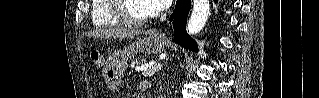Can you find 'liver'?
<instances>
[{
    "instance_id": "1",
    "label": "liver",
    "mask_w": 319,
    "mask_h": 98,
    "mask_svg": "<svg viewBox=\"0 0 319 98\" xmlns=\"http://www.w3.org/2000/svg\"><path fill=\"white\" fill-rule=\"evenodd\" d=\"M142 32L139 30H132L127 28H106L97 29L87 33L88 37L101 38V39H112V38H128L134 35H139Z\"/></svg>"
}]
</instances>
